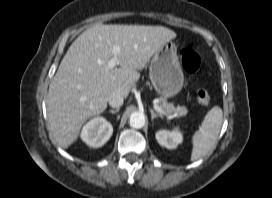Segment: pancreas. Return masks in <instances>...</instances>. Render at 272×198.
Masks as SVG:
<instances>
[{
    "instance_id": "cf45deb5",
    "label": "pancreas",
    "mask_w": 272,
    "mask_h": 198,
    "mask_svg": "<svg viewBox=\"0 0 272 198\" xmlns=\"http://www.w3.org/2000/svg\"><path fill=\"white\" fill-rule=\"evenodd\" d=\"M160 107L165 111L166 115H170L172 113L176 115H186L188 110L184 106L175 107L172 103H168L165 98H162L159 102Z\"/></svg>"
}]
</instances>
